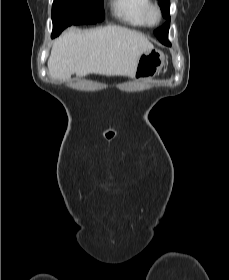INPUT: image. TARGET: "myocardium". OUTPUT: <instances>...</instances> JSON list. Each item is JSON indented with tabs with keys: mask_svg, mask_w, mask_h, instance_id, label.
Instances as JSON below:
<instances>
[{
	"mask_svg": "<svg viewBox=\"0 0 229 280\" xmlns=\"http://www.w3.org/2000/svg\"><path fill=\"white\" fill-rule=\"evenodd\" d=\"M162 13L160 8L155 4H150L145 11V20L148 26H154L161 20Z\"/></svg>",
	"mask_w": 229,
	"mask_h": 280,
	"instance_id": "1",
	"label": "myocardium"
}]
</instances>
